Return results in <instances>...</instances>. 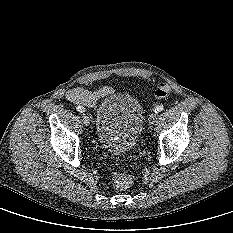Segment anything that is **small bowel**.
Returning <instances> with one entry per match:
<instances>
[{"mask_svg": "<svg viewBox=\"0 0 233 233\" xmlns=\"http://www.w3.org/2000/svg\"><path fill=\"white\" fill-rule=\"evenodd\" d=\"M111 92L109 87L101 88L98 91L92 92L82 87L71 89L67 93L69 101L82 107L92 108L96 105L99 98L106 96Z\"/></svg>", "mask_w": 233, "mask_h": 233, "instance_id": "1", "label": "small bowel"}]
</instances>
